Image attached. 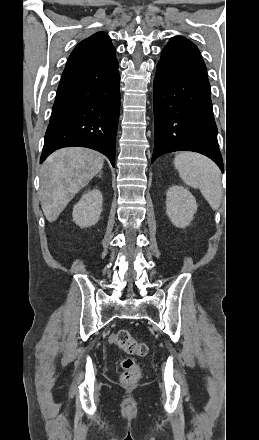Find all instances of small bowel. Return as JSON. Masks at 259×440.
<instances>
[{"label": "small bowel", "mask_w": 259, "mask_h": 440, "mask_svg": "<svg viewBox=\"0 0 259 440\" xmlns=\"http://www.w3.org/2000/svg\"><path fill=\"white\" fill-rule=\"evenodd\" d=\"M109 342L112 344L115 343V335L112 334L109 336Z\"/></svg>", "instance_id": "small-bowel-1"}]
</instances>
